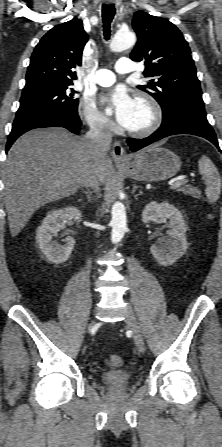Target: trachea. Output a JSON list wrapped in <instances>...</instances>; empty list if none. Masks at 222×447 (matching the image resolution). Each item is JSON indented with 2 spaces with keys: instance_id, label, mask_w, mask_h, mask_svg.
<instances>
[{
  "instance_id": "obj_1",
  "label": "trachea",
  "mask_w": 222,
  "mask_h": 447,
  "mask_svg": "<svg viewBox=\"0 0 222 447\" xmlns=\"http://www.w3.org/2000/svg\"><path fill=\"white\" fill-rule=\"evenodd\" d=\"M115 15V8L114 5H107L103 4L102 6V18H103V32H104V38L108 40L110 38V24L114 18Z\"/></svg>"
}]
</instances>
